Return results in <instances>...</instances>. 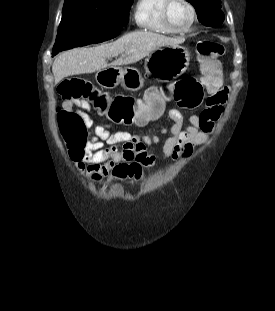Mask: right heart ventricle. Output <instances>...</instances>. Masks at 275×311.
I'll return each mask as SVG.
<instances>
[{
  "instance_id": "obj_1",
  "label": "right heart ventricle",
  "mask_w": 275,
  "mask_h": 311,
  "mask_svg": "<svg viewBox=\"0 0 275 311\" xmlns=\"http://www.w3.org/2000/svg\"><path fill=\"white\" fill-rule=\"evenodd\" d=\"M164 4L165 0H137L133 12L137 27L157 34H173L162 18Z\"/></svg>"
}]
</instances>
